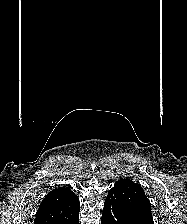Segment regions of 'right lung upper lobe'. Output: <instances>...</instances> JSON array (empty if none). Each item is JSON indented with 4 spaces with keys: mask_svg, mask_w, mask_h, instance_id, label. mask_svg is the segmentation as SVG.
<instances>
[{
    "mask_svg": "<svg viewBox=\"0 0 187 224\" xmlns=\"http://www.w3.org/2000/svg\"><path fill=\"white\" fill-rule=\"evenodd\" d=\"M80 208L78 197L68 187L50 191L42 200L34 224H65Z\"/></svg>",
    "mask_w": 187,
    "mask_h": 224,
    "instance_id": "obj_1",
    "label": "right lung upper lobe"
}]
</instances>
